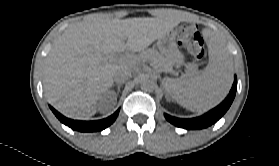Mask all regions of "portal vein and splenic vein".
<instances>
[{
  "label": "portal vein and splenic vein",
  "mask_w": 279,
  "mask_h": 166,
  "mask_svg": "<svg viewBox=\"0 0 279 166\" xmlns=\"http://www.w3.org/2000/svg\"><path fill=\"white\" fill-rule=\"evenodd\" d=\"M131 57L130 56H120L118 57L117 55L113 54V55H108L106 57V59L110 62H122V61H126L129 60ZM190 70H192V68H190Z\"/></svg>",
  "instance_id": "obj_1"
}]
</instances>
